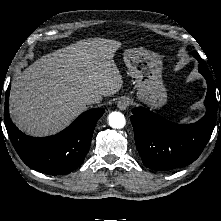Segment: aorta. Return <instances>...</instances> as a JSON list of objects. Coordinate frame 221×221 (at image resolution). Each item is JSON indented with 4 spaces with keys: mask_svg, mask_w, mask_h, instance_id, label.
Listing matches in <instances>:
<instances>
[{
    "mask_svg": "<svg viewBox=\"0 0 221 221\" xmlns=\"http://www.w3.org/2000/svg\"><path fill=\"white\" fill-rule=\"evenodd\" d=\"M109 125L112 128L120 129L125 126L126 120L122 113L114 111L108 115Z\"/></svg>",
    "mask_w": 221,
    "mask_h": 221,
    "instance_id": "762f6f07",
    "label": "aorta"
}]
</instances>
